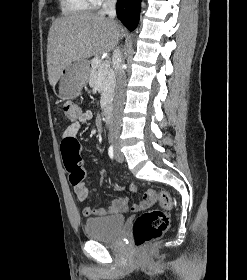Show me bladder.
<instances>
[{
  "instance_id": "bladder-1",
  "label": "bladder",
  "mask_w": 247,
  "mask_h": 280,
  "mask_svg": "<svg viewBox=\"0 0 247 280\" xmlns=\"http://www.w3.org/2000/svg\"><path fill=\"white\" fill-rule=\"evenodd\" d=\"M124 222L122 215L89 218L84 223V234L91 240L112 242L120 236Z\"/></svg>"
}]
</instances>
